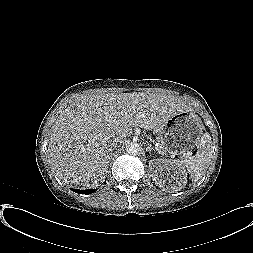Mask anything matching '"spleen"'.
I'll use <instances>...</instances> for the list:
<instances>
[{"instance_id":"1","label":"spleen","mask_w":253,"mask_h":253,"mask_svg":"<svg viewBox=\"0 0 253 253\" xmlns=\"http://www.w3.org/2000/svg\"><path fill=\"white\" fill-rule=\"evenodd\" d=\"M212 157V141L209 133L202 135L198 145L197 153L187 159L173 160L174 163L182 168H186L192 181H198L206 172Z\"/></svg>"}]
</instances>
